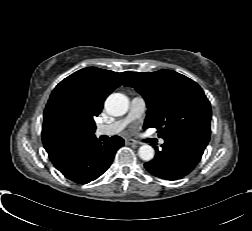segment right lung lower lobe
<instances>
[{"instance_id":"98d812e1","label":"right lung lower lobe","mask_w":252,"mask_h":231,"mask_svg":"<svg viewBox=\"0 0 252 231\" xmlns=\"http://www.w3.org/2000/svg\"><path fill=\"white\" fill-rule=\"evenodd\" d=\"M123 145L124 140L119 136L103 144L95 136L81 138L72 145L68 158L58 170L71 181L89 183L109 168L116 151Z\"/></svg>"}]
</instances>
